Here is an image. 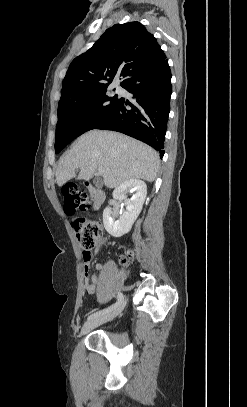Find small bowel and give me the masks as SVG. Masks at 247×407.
Instances as JSON below:
<instances>
[{
    "label": "small bowel",
    "mask_w": 247,
    "mask_h": 407,
    "mask_svg": "<svg viewBox=\"0 0 247 407\" xmlns=\"http://www.w3.org/2000/svg\"><path fill=\"white\" fill-rule=\"evenodd\" d=\"M103 242H101L99 244V246L97 247V249L95 250L94 254H90L89 256H85L83 254V261H84V287L85 290L89 293V294H93L96 291V285L99 282V277L98 275L95 273L92 275L91 277V282H89V272H90V263L94 257V255H96L98 253V251L100 250V248L102 247ZM103 269V266L101 264H96L95 265V270L96 271H101ZM125 277H128V273L125 272L124 273Z\"/></svg>",
    "instance_id": "c3829d8e"
}]
</instances>
